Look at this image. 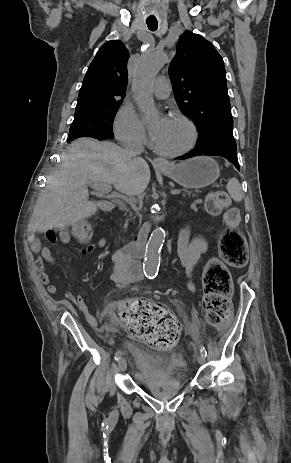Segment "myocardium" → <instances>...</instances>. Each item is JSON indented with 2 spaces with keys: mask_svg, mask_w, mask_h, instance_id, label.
<instances>
[{
  "mask_svg": "<svg viewBox=\"0 0 291 463\" xmlns=\"http://www.w3.org/2000/svg\"><path fill=\"white\" fill-rule=\"evenodd\" d=\"M173 118L181 122L188 130L189 137L184 146L174 151H163L155 147V151L163 157L174 158L188 153L196 144L198 139V131L195 123L182 113H174Z\"/></svg>",
  "mask_w": 291,
  "mask_h": 463,
  "instance_id": "obj_1",
  "label": "myocardium"
}]
</instances>
